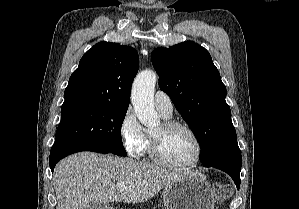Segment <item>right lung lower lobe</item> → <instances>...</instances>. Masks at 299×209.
<instances>
[{"instance_id": "right-lung-lower-lobe-1", "label": "right lung lower lobe", "mask_w": 299, "mask_h": 209, "mask_svg": "<svg viewBox=\"0 0 299 209\" xmlns=\"http://www.w3.org/2000/svg\"><path fill=\"white\" fill-rule=\"evenodd\" d=\"M80 151H93V152H98V153H111L109 150L100 147V146H95V145H87L83 143H78V142H71V141H66V140H56L51 148L50 152V168L51 171H54V167L56 163L61 160L62 158L73 154L75 152H80Z\"/></svg>"}]
</instances>
